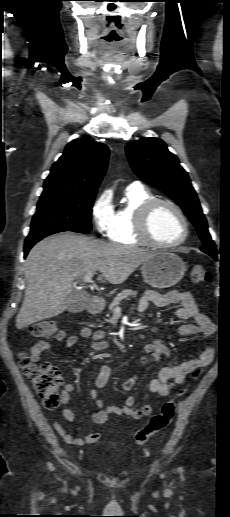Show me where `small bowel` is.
I'll return each mask as SVG.
<instances>
[{
  "label": "small bowel",
  "instance_id": "1",
  "mask_svg": "<svg viewBox=\"0 0 230 517\" xmlns=\"http://www.w3.org/2000/svg\"><path fill=\"white\" fill-rule=\"evenodd\" d=\"M154 304L159 307L170 306L179 304L180 307L173 312V316L179 320L193 319V323H184L178 329V335L181 337H187L190 335H203L210 337L216 334L217 326L213 323L207 315L200 312L193 295L190 292H167L159 293L152 290L145 291L138 303V309L140 312H144L148 309L150 304ZM104 332L93 331L89 327H84L80 330L79 334H72L63 339L64 347H73L81 339L88 340L91 343V347L96 351H104L109 348L108 342L102 340ZM50 348L48 341H39L35 343L30 350V358L33 361H39L41 355ZM215 354V348L212 345H208L201 350L196 358L183 362L177 365H169L163 367L157 376L149 383V390L161 397L169 396L172 391L179 385H181L185 378L198 368L206 367L213 361ZM170 355V347L168 343L161 338H153L144 346V353L140 357V361L143 365H146L148 358L155 363L159 362L162 358ZM111 370L109 366L103 364L99 368V374L94 381V386L89 390V394L93 399H96L97 410L91 415L92 422L95 424H104L109 415H125L134 419H139L144 416H148L152 413V407L150 405H143L139 409L134 408L135 398L128 396L122 406H108L105 407V400L98 398V389L103 388L110 377ZM139 379L138 375H134L130 378L125 379L121 383V389L124 391H131L136 385ZM74 391V385L70 382H64L62 392V403L64 407L62 409L63 417L70 423H75L76 415L74 411L66 406L68 403L71 393ZM53 427L55 431L61 436L65 443L73 446H82L84 444H94L99 441L100 434L97 432L86 433L82 432V436L75 438L71 435L63 425L58 421L54 420Z\"/></svg>",
  "mask_w": 230,
  "mask_h": 517
}]
</instances>
